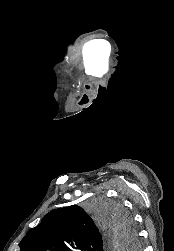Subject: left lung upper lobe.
<instances>
[{"label":"left lung upper lobe","instance_id":"5c2ea615","mask_svg":"<svg viewBox=\"0 0 174 251\" xmlns=\"http://www.w3.org/2000/svg\"><path fill=\"white\" fill-rule=\"evenodd\" d=\"M96 217L110 229L101 234L91 217L72 205L49 212L20 242V251H104L113 244L136 243L131 217L120 205L101 204Z\"/></svg>","mask_w":174,"mask_h":251}]
</instances>
